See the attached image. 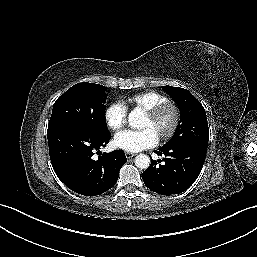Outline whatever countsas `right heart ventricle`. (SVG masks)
Segmentation results:
<instances>
[{"instance_id":"e07e8e85","label":"right heart ventricle","mask_w":257,"mask_h":257,"mask_svg":"<svg viewBox=\"0 0 257 257\" xmlns=\"http://www.w3.org/2000/svg\"><path fill=\"white\" fill-rule=\"evenodd\" d=\"M167 100L168 97L165 94L149 90L127 97L125 103L133 109L146 111Z\"/></svg>"}]
</instances>
